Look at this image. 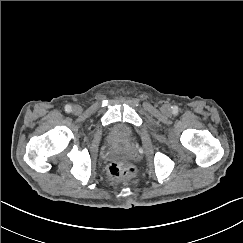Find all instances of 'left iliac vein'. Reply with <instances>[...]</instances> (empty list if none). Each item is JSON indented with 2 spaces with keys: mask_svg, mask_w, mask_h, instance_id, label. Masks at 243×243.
I'll use <instances>...</instances> for the list:
<instances>
[{
  "mask_svg": "<svg viewBox=\"0 0 243 243\" xmlns=\"http://www.w3.org/2000/svg\"><path fill=\"white\" fill-rule=\"evenodd\" d=\"M162 111H163L164 113H169V112L171 111V107H170V105H168V104L163 105V106H162Z\"/></svg>",
  "mask_w": 243,
  "mask_h": 243,
  "instance_id": "obj_1",
  "label": "left iliac vein"
}]
</instances>
